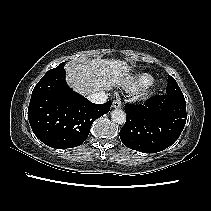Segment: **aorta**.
<instances>
[{"mask_svg":"<svg viewBox=\"0 0 211 211\" xmlns=\"http://www.w3.org/2000/svg\"><path fill=\"white\" fill-rule=\"evenodd\" d=\"M111 119L117 124H124L126 122V114L123 110L115 109L111 112Z\"/></svg>","mask_w":211,"mask_h":211,"instance_id":"762f6f07","label":"aorta"}]
</instances>
